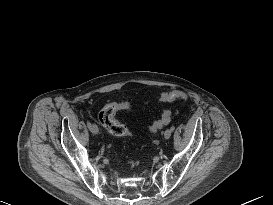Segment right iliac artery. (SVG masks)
Listing matches in <instances>:
<instances>
[{"label":"right iliac artery","mask_w":273,"mask_h":205,"mask_svg":"<svg viewBox=\"0 0 273 205\" xmlns=\"http://www.w3.org/2000/svg\"><path fill=\"white\" fill-rule=\"evenodd\" d=\"M87 126H88V128H90V126H91V123L89 121H87Z\"/></svg>","instance_id":"1"}]
</instances>
